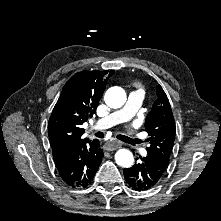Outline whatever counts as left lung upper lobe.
I'll return each instance as SVG.
<instances>
[{"label": "left lung upper lobe", "mask_w": 221, "mask_h": 221, "mask_svg": "<svg viewBox=\"0 0 221 221\" xmlns=\"http://www.w3.org/2000/svg\"><path fill=\"white\" fill-rule=\"evenodd\" d=\"M156 95L157 99L145 120V129L150 136V146L146 150L148 155L168 164L176 127L169 100L160 85Z\"/></svg>", "instance_id": "left-lung-upper-lobe-1"}]
</instances>
